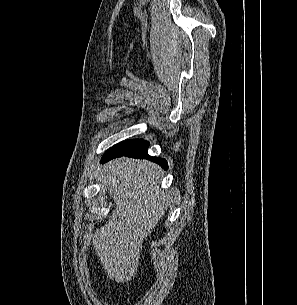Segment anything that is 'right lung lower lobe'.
<instances>
[{
	"label": "right lung lower lobe",
	"mask_w": 297,
	"mask_h": 305,
	"mask_svg": "<svg viewBox=\"0 0 297 305\" xmlns=\"http://www.w3.org/2000/svg\"><path fill=\"white\" fill-rule=\"evenodd\" d=\"M148 145L147 141L141 139L137 143L128 147L110 148L102 157L101 163H105L116 157L127 156L133 158H146L160 164L164 169H167L168 165L165 159L151 157L147 154Z\"/></svg>",
	"instance_id": "1"
}]
</instances>
